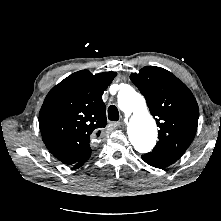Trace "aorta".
Instances as JSON below:
<instances>
[{"label": "aorta", "instance_id": "1", "mask_svg": "<svg viewBox=\"0 0 221 221\" xmlns=\"http://www.w3.org/2000/svg\"><path fill=\"white\" fill-rule=\"evenodd\" d=\"M118 106L129 118L128 136L135 150L150 152L156 144L157 126L142 95L126 86L125 93L118 98Z\"/></svg>", "mask_w": 221, "mask_h": 221}]
</instances>
